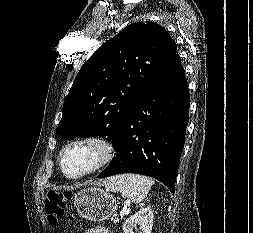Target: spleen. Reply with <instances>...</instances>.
Segmentation results:
<instances>
[{
  "mask_svg": "<svg viewBox=\"0 0 253 233\" xmlns=\"http://www.w3.org/2000/svg\"><path fill=\"white\" fill-rule=\"evenodd\" d=\"M154 181L139 174H121L108 179L105 188L107 191L120 192L124 198H129L134 203L142 202Z\"/></svg>",
  "mask_w": 253,
  "mask_h": 233,
  "instance_id": "obj_1",
  "label": "spleen"
}]
</instances>
